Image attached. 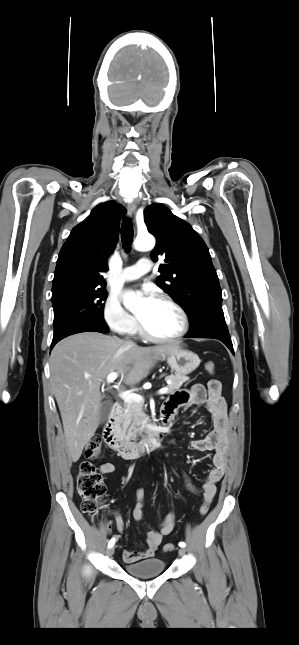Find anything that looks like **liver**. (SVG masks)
Segmentation results:
<instances>
[{"mask_svg": "<svg viewBox=\"0 0 299 645\" xmlns=\"http://www.w3.org/2000/svg\"><path fill=\"white\" fill-rule=\"evenodd\" d=\"M178 343L139 347L97 332L61 340L50 356V381L62 418L68 455L77 462L100 422L102 382L110 373L128 386L138 384L156 361Z\"/></svg>", "mask_w": 299, "mask_h": 645, "instance_id": "6515ba94", "label": "liver"}]
</instances>
